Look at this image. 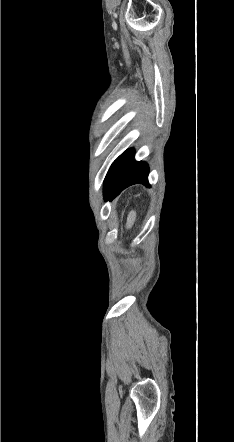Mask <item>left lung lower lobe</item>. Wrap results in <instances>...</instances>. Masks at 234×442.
<instances>
[{
    "label": "left lung lower lobe",
    "mask_w": 234,
    "mask_h": 442,
    "mask_svg": "<svg viewBox=\"0 0 234 442\" xmlns=\"http://www.w3.org/2000/svg\"><path fill=\"white\" fill-rule=\"evenodd\" d=\"M148 172L149 168L146 163L134 160L133 149L124 152L111 165L105 178V200H111L130 185L137 183L147 185Z\"/></svg>",
    "instance_id": "1"
}]
</instances>
